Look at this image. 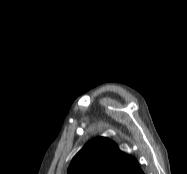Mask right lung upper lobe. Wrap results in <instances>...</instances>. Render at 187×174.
Listing matches in <instances>:
<instances>
[{"label": "right lung upper lobe", "mask_w": 187, "mask_h": 174, "mask_svg": "<svg viewBox=\"0 0 187 174\" xmlns=\"http://www.w3.org/2000/svg\"><path fill=\"white\" fill-rule=\"evenodd\" d=\"M68 174H144L133 156L104 137L88 142L73 158Z\"/></svg>", "instance_id": "1"}]
</instances>
